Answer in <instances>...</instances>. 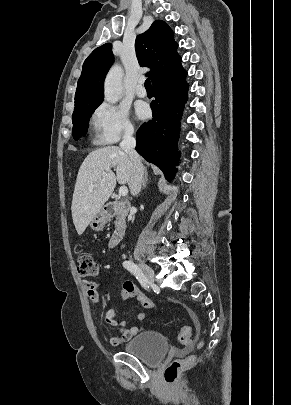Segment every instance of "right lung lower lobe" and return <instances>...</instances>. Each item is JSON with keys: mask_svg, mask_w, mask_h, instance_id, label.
<instances>
[{"mask_svg": "<svg viewBox=\"0 0 291 405\" xmlns=\"http://www.w3.org/2000/svg\"><path fill=\"white\" fill-rule=\"evenodd\" d=\"M186 71L157 81L151 103L153 118L137 131L136 151L158 166L169 180L174 178L179 163L177 143L180 121L187 98Z\"/></svg>", "mask_w": 291, "mask_h": 405, "instance_id": "98d812e1", "label": "right lung lower lobe"}]
</instances>
